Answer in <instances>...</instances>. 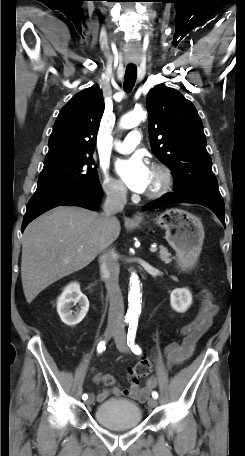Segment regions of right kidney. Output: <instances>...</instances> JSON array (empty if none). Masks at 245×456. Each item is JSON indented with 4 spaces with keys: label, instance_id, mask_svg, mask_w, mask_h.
<instances>
[{
    "label": "right kidney",
    "instance_id": "1",
    "mask_svg": "<svg viewBox=\"0 0 245 456\" xmlns=\"http://www.w3.org/2000/svg\"><path fill=\"white\" fill-rule=\"evenodd\" d=\"M78 304L76 312L71 310L73 305ZM89 310L88 298L81 292L77 282L67 285L57 300V312L61 321L68 326L80 323Z\"/></svg>",
    "mask_w": 245,
    "mask_h": 456
}]
</instances>
